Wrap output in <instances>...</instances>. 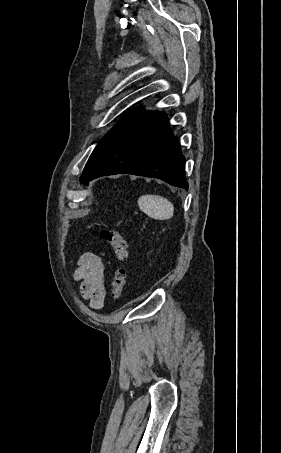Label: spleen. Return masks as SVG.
Wrapping results in <instances>:
<instances>
[{"label":"spleen","mask_w":281,"mask_h":453,"mask_svg":"<svg viewBox=\"0 0 281 453\" xmlns=\"http://www.w3.org/2000/svg\"><path fill=\"white\" fill-rule=\"evenodd\" d=\"M138 206L148 216L159 218V220L172 218L174 214L172 202L168 198H164V196H158V194H143V196L138 198Z\"/></svg>","instance_id":"1"}]
</instances>
